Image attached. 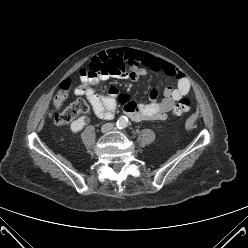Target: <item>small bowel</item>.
Returning <instances> with one entry per match:
<instances>
[{"instance_id":"obj_1","label":"small bowel","mask_w":248,"mask_h":248,"mask_svg":"<svg viewBox=\"0 0 248 248\" xmlns=\"http://www.w3.org/2000/svg\"><path fill=\"white\" fill-rule=\"evenodd\" d=\"M116 56L123 61L124 69L114 73H100L90 76L87 68L81 70L82 82L74 89L77 96H84L91 104L95 115L102 119H110L116 109V98L119 94L117 87L112 86L108 95H99L93 85L100 84L108 78L138 80L147 76L148 70L154 73H163L176 81V86H166L163 90L164 98L157 101L158 91L151 90V102L147 104L136 103L129 100L124 106L125 114L133 121L164 120L167 118L175 103L186 96L190 90L187 77L172 64L156 58L145 52L131 49H119L96 56L94 59L101 61L108 56Z\"/></svg>"}]
</instances>
